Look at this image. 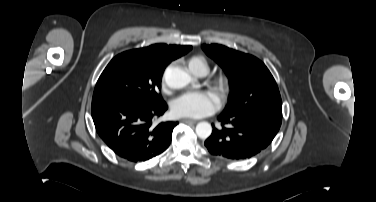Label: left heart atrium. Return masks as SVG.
Segmentation results:
<instances>
[{
	"label": "left heart atrium",
	"instance_id": "obj_1",
	"mask_svg": "<svg viewBox=\"0 0 376 202\" xmlns=\"http://www.w3.org/2000/svg\"><path fill=\"white\" fill-rule=\"evenodd\" d=\"M219 108L218 98L210 91H190L177 97L171 105L176 117L201 118Z\"/></svg>",
	"mask_w": 376,
	"mask_h": 202
}]
</instances>
